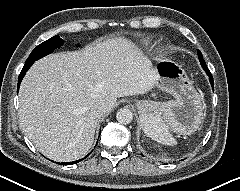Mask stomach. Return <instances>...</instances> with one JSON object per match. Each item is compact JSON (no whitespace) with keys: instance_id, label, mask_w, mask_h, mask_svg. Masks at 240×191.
<instances>
[{"instance_id":"obj_1","label":"stomach","mask_w":240,"mask_h":191,"mask_svg":"<svg viewBox=\"0 0 240 191\" xmlns=\"http://www.w3.org/2000/svg\"><path fill=\"white\" fill-rule=\"evenodd\" d=\"M154 70L158 77L155 85L170 93L174 100L161 104L150 100H136L135 105L141 118L160 111L174 131L181 134L196 131L203 119V99L192 81L182 67L171 60L159 62Z\"/></svg>"}]
</instances>
